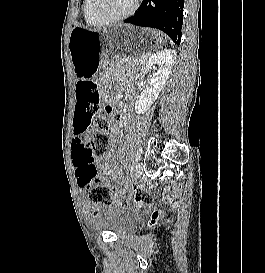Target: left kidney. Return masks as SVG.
I'll use <instances>...</instances> for the list:
<instances>
[{
    "instance_id": "1",
    "label": "left kidney",
    "mask_w": 265,
    "mask_h": 273,
    "mask_svg": "<svg viewBox=\"0 0 265 273\" xmlns=\"http://www.w3.org/2000/svg\"><path fill=\"white\" fill-rule=\"evenodd\" d=\"M176 59V52L174 50L165 49L153 54L146 62L148 69H155L156 71L150 75L148 84L143 88L141 94L135 103V111L138 114L146 112L161 92L167 77L171 72V68Z\"/></svg>"
}]
</instances>
